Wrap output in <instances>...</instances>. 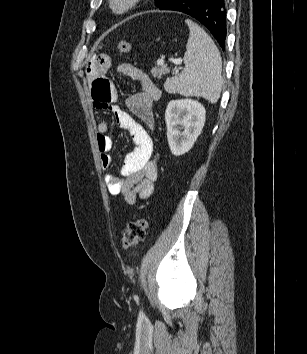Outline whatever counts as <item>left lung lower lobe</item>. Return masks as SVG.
<instances>
[{
  "label": "left lung lower lobe",
  "mask_w": 307,
  "mask_h": 354,
  "mask_svg": "<svg viewBox=\"0 0 307 354\" xmlns=\"http://www.w3.org/2000/svg\"><path fill=\"white\" fill-rule=\"evenodd\" d=\"M161 10H173L188 14L200 21L225 48L226 4L225 0H170Z\"/></svg>",
  "instance_id": "1"
}]
</instances>
